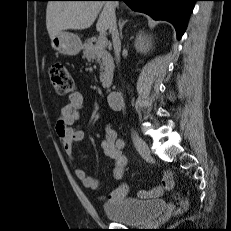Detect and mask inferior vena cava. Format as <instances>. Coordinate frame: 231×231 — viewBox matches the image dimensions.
I'll use <instances>...</instances> for the list:
<instances>
[{"instance_id": "1", "label": "inferior vena cava", "mask_w": 231, "mask_h": 231, "mask_svg": "<svg viewBox=\"0 0 231 231\" xmlns=\"http://www.w3.org/2000/svg\"><path fill=\"white\" fill-rule=\"evenodd\" d=\"M112 3H113L114 6H118L117 1H114ZM110 32L112 34V41H113V47H114V53H115L116 61L119 62V60H120L121 42H120V39H119V34H118V30H117V24H116L115 15L113 16V19H112V22H111Z\"/></svg>"}]
</instances>
